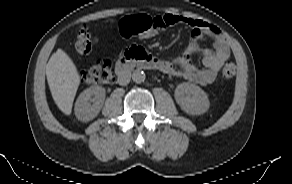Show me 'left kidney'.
Instances as JSON below:
<instances>
[{
	"mask_svg": "<svg viewBox=\"0 0 292 184\" xmlns=\"http://www.w3.org/2000/svg\"><path fill=\"white\" fill-rule=\"evenodd\" d=\"M174 96L181 109L191 115L204 114L210 106L207 94L199 86L188 82L179 84Z\"/></svg>",
	"mask_w": 292,
	"mask_h": 184,
	"instance_id": "obj_1",
	"label": "left kidney"
}]
</instances>
